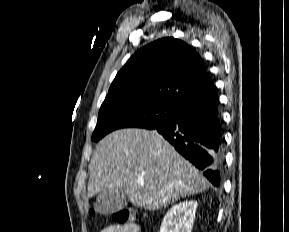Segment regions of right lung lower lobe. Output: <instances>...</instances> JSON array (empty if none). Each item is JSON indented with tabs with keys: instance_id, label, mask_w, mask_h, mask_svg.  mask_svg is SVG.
Returning <instances> with one entry per match:
<instances>
[{
	"instance_id": "1",
	"label": "right lung lower lobe",
	"mask_w": 289,
	"mask_h": 232,
	"mask_svg": "<svg viewBox=\"0 0 289 232\" xmlns=\"http://www.w3.org/2000/svg\"><path fill=\"white\" fill-rule=\"evenodd\" d=\"M216 187L224 164L218 97L178 108L176 117L155 128Z\"/></svg>"
}]
</instances>
